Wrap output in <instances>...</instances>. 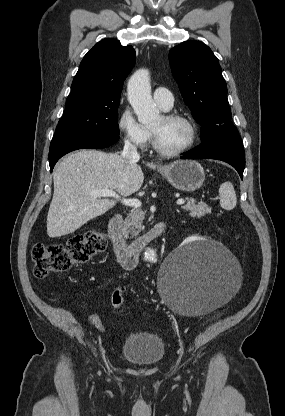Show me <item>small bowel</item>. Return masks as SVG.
<instances>
[{"instance_id": "obj_1", "label": "small bowel", "mask_w": 285, "mask_h": 416, "mask_svg": "<svg viewBox=\"0 0 285 416\" xmlns=\"http://www.w3.org/2000/svg\"><path fill=\"white\" fill-rule=\"evenodd\" d=\"M87 322L89 325L94 326L97 328L100 332H103L105 330V326L97 314H92L87 318Z\"/></svg>"}]
</instances>
